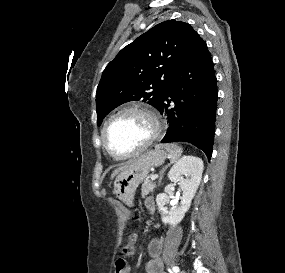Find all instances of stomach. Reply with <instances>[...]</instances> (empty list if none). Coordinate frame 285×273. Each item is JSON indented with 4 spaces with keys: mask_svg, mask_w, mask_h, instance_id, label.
Instances as JSON below:
<instances>
[{
    "mask_svg": "<svg viewBox=\"0 0 285 273\" xmlns=\"http://www.w3.org/2000/svg\"><path fill=\"white\" fill-rule=\"evenodd\" d=\"M166 156L167 153L161 147H157L130 163L117 175L114 181L116 196L128 206H131L139 184L148 177L152 167L164 163Z\"/></svg>",
    "mask_w": 285,
    "mask_h": 273,
    "instance_id": "obj_1",
    "label": "stomach"
}]
</instances>
